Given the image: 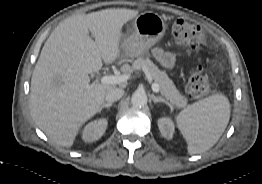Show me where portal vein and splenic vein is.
<instances>
[{
    "instance_id": "1",
    "label": "portal vein and splenic vein",
    "mask_w": 262,
    "mask_h": 184,
    "mask_svg": "<svg viewBox=\"0 0 262 184\" xmlns=\"http://www.w3.org/2000/svg\"><path fill=\"white\" fill-rule=\"evenodd\" d=\"M129 79V74H121V75H105L102 76L100 81L102 84H120L126 82ZM152 90L155 93H158L160 87L157 83H152Z\"/></svg>"
}]
</instances>
